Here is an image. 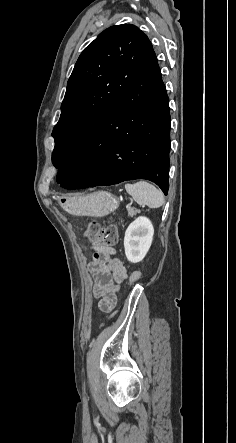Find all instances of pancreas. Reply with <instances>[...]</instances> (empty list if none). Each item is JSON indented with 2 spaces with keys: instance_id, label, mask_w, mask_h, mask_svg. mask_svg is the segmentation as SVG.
<instances>
[{
  "instance_id": "pancreas-1",
  "label": "pancreas",
  "mask_w": 236,
  "mask_h": 443,
  "mask_svg": "<svg viewBox=\"0 0 236 443\" xmlns=\"http://www.w3.org/2000/svg\"><path fill=\"white\" fill-rule=\"evenodd\" d=\"M127 211H128V216H131V217L140 212L138 209L133 208L131 206L127 207Z\"/></svg>"
}]
</instances>
